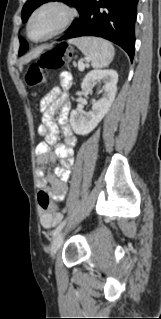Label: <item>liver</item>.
<instances>
[{"instance_id":"obj_1","label":"liver","mask_w":161,"mask_h":319,"mask_svg":"<svg viewBox=\"0 0 161 319\" xmlns=\"http://www.w3.org/2000/svg\"><path fill=\"white\" fill-rule=\"evenodd\" d=\"M41 52H42V48H38V49L32 51L31 53L23 56L21 58L20 64H19L20 71H22L24 64L30 62L33 58H36L37 56H39Z\"/></svg>"}]
</instances>
